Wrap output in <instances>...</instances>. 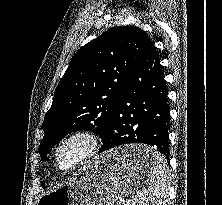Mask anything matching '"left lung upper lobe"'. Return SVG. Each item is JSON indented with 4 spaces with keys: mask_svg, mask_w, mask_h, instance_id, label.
I'll list each match as a JSON object with an SVG mask.
<instances>
[{
    "mask_svg": "<svg viewBox=\"0 0 222 205\" xmlns=\"http://www.w3.org/2000/svg\"><path fill=\"white\" fill-rule=\"evenodd\" d=\"M149 40L136 26H116L76 52L43 121L42 159L71 132L105 136L128 75Z\"/></svg>",
    "mask_w": 222,
    "mask_h": 205,
    "instance_id": "1",
    "label": "left lung upper lobe"
}]
</instances>
